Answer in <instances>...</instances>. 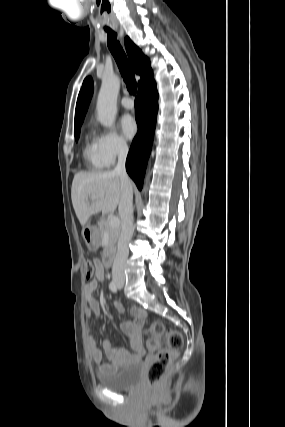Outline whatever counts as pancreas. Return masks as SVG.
Here are the masks:
<instances>
[{
    "label": "pancreas",
    "mask_w": 285,
    "mask_h": 427,
    "mask_svg": "<svg viewBox=\"0 0 285 427\" xmlns=\"http://www.w3.org/2000/svg\"><path fill=\"white\" fill-rule=\"evenodd\" d=\"M120 224L117 227H110L108 223V219L103 217L98 224V232L100 238L103 239L106 234H108L109 238V248H112L116 245L117 239L120 234Z\"/></svg>",
    "instance_id": "pancreas-1"
}]
</instances>
